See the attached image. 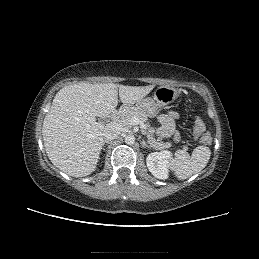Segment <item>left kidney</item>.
Here are the masks:
<instances>
[{
	"instance_id": "1",
	"label": "left kidney",
	"mask_w": 259,
	"mask_h": 259,
	"mask_svg": "<svg viewBox=\"0 0 259 259\" xmlns=\"http://www.w3.org/2000/svg\"><path fill=\"white\" fill-rule=\"evenodd\" d=\"M172 159L170 151L152 152L146 158L149 171L158 179L165 180L169 177V163Z\"/></svg>"
}]
</instances>
